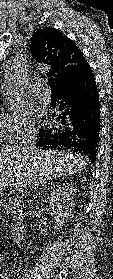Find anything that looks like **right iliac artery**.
I'll use <instances>...</instances> for the list:
<instances>
[{
	"label": "right iliac artery",
	"mask_w": 113,
	"mask_h": 279,
	"mask_svg": "<svg viewBox=\"0 0 113 279\" xmlns=\"http://www.w3.org/2000/svg\"><path fill=\"white\" fill-rule=\"evenodd\" d=\"M22 279H31V276L28 273H24Z\"/></svg>",
	"instance_id": "right-iliac-artery-1"
}]
</instances>
